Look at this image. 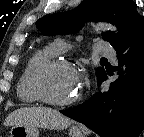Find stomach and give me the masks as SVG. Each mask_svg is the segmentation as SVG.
<instances>
[{
	"instance_id": "1",
	"label": "stomach",
	"mask_w": 144,
	"mask_h": 137,
	"mask_svg": "<svg viewBox=\"0 0 144 137\" xmlns=\"http://www.w3.org/2000/svg\"><path fill=\"white\" fill-rule=\"evenodd\" d=\"M70 137H84L82 130L77 126H72L69 131ZM10 137H39L37 127L13 126Z\"/></svg>"
}]
</instances>
